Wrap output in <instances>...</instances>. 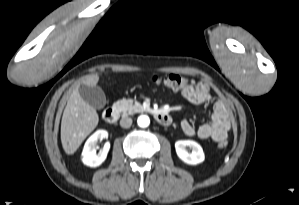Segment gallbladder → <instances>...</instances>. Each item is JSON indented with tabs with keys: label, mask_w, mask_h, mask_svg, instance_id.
Wrapping results in <instances>:
<instances>
[{
	"label": "gallbladder",
	"mask_w": 299,
	"mask_h": 205,
	"mask_svg": "<svg viewBox=\"0 0 299 205\" xmlns=\"http://www.w3.org/2000/svg\"><path fill=\"white\" fill-rule=\"evenodd\" d=\"M78 91L83 100L95 109H102L106 104V96L99 86L80 84Z\"/></svg>",
	"instance_id": "1"
}]
</instances>
